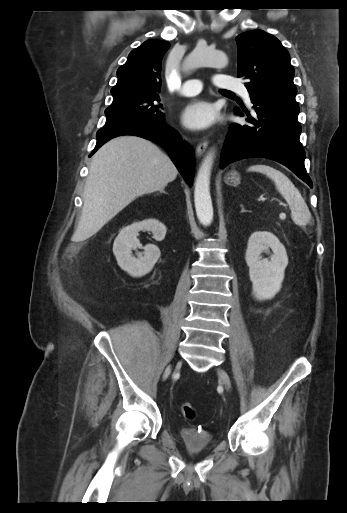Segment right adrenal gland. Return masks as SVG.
I'll return each mask as SVG.
<instances>
[{
    "mask_svg": "<svg viewBox=\"0 0 347 513\" xmlns=\"http://www.w3.org/2000/svg\"><path fill=\"white\" fill-rule=\"evenodd\" d=\"M160 194H167V193L164 190H161Z\"/></svg>",
    "mask_w": 347,
    "mask_h": 513,
    "instance_id": "obj_1",
    "label": "right adrenal gland"
}]
</instances>
